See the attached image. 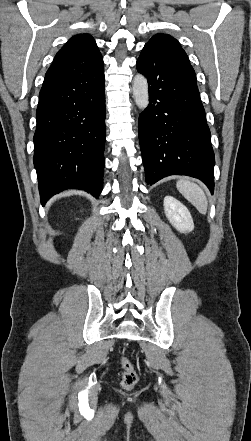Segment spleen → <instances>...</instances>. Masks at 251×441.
Returning a JSON list of instances; mask_svg holds the SVG:
<instances>
[{"label": "spleen", "mask_w": 251, "mask_h": 441, "mask_svg": "<svg viewBox=\"0 0 251 441\" xmlns=\"http://www.w3.org/2000/svg\"><path fill=\"white\" fill-rule=\"evenodd\" d=\"M179 192L193 205L201 214L207 212V198L204 191L195 183L189 180L180 179L176 183Z\"/></svg>", "instance_id": "3e777b00"}]
</instances>
